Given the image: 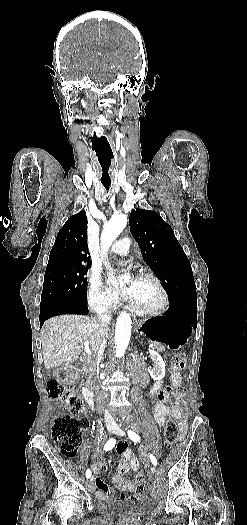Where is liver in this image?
Listing matches in <instances>:
<instances>
[{
    "label": "liver",
    "mask_w": 247,
    "mask_h": 525,
    "mask_svg": "<svg viewBox=\"0 0 247 525\" xmlns=\"http://www.w3.org/2000/svg\"><path fill=\"white\" fill-rule=\"evenodd\" d=\"M111 323L102 327L97 317L59 315L45 321L40 333L46 371L80 359L84 347L97 355L98 341L107 339Z\"/></svg>",
    "instance_id": "obj_1"
}]
</instances>
